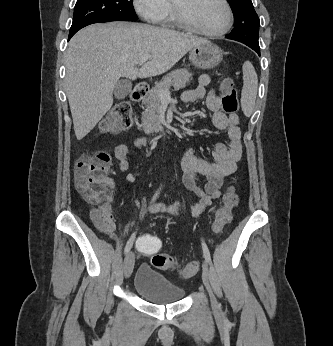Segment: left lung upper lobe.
Here are the masks:
<instances>
[{
	"label": "left lung upper lobe",
	"instance_id": "1",
	"mask_svg": "<svg viewBox=\"0 0 333 346\" xmlns=\"http://www.w3.org/2000/svg\"><path fill=\"white\" fill-rule=\"evenodd\" d=\"M234 13L235 26L228 39L248 44H259L260 20L251 0H228Z\"/></svg>",
	"mask_w": 333,
	"mask_h": 346
}]
</instances>
